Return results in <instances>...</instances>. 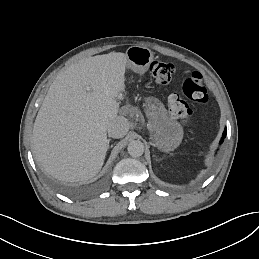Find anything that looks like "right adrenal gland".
<instances>
[{
    "label": "right adrenal gland",
    "mask_w": 259,
    "mask_h": 259,
    "mask_svg": "<svg viewBox=\"0 0 259 259\" xmlns=\"http://www.w3.org/2000/svg\"><path fill=\"white\" fill-rule=\"evenodd\" d=\"M110 139L107 140V148H109Z\"/></svg>",
    "instance_id": "obj_1"
}]
</instances>
